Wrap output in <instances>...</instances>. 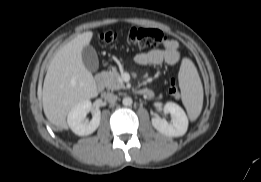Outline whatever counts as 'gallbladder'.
I'll use <instances>...</instances> for the list:
<instances>
[{
  "label": "gallbladder",
  "mask_w": 261,
  "mask_h": 182,
  "mask_svg": "<svg viewBox=\"0 0 261 182\" xmlns=\"http://www.w3.org/2000/svg\"><path fill=\"white\" fill-rule=\"evenodd\" d=\"M81 55L86 69L90 72H96L99 68V61L95 49L90 45H86L83 47Z\"/></svg>",
  "instance_id": "1"
}]
</instances>
